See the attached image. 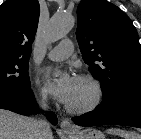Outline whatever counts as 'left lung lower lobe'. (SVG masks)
<instances>
[{"mask_svg": "<svg viewBox=\"0 0 141 139\" xmlns=\"http://www.w3.org/2000/svg\"><path fill=\"white\" fill-rule=\"evenodd\" d=\"M72 121L79 126L115 124L141 128V87L121 90Z\"/></svg>", "mask_w": 141, "mask_h": 139, "instance_id": "0a47b994", "label": "left lung lower lobe"}]
</instances>
